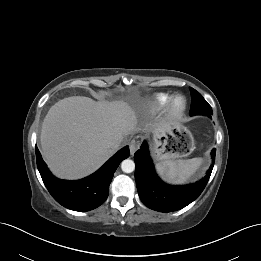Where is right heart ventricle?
<instances>
[{
    "mask_svg": "<svg viewBox=\"0 0 261 261\" xmlns=\"http://www.w3.org/2000/svg\"><path fill=\"white\" fill-rule=\"evenodd\" d=\"M170 96L167 94H158L156 96V102L158 105L165 106L169 103Z\"/></svg>",
    "mask_w": 261,
    "mask_h": 261,
    "instance_id": "1",
    "label": "right heart ventricle"
}]
</instances>
